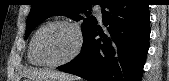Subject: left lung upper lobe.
<instances>
[{"mask_svg":"<svg viewBox=\"0 0 169 81\" xmlns=\"http://www.w3.org/2000/svg\"><path fill=\"white\" fill-rule=\"evenodd\" d=\"M97 2H102L99 0ZM32 8L27 18L25 38H28L32 30L43 20L53 15H65L76 21L83 19L81 13H85L91 5L83 0H32ZM87 18L81 25L83 37L95 26L96 19L87 14Z\"/></svg>","mask_w":169,"mask_h":81,"instance_id":"5c2ea615","label":"left lung upper lobe"}]
</instances>
